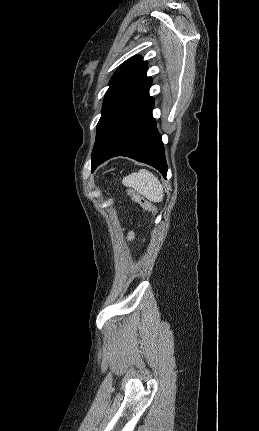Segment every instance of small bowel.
Instances as JSON below:
<instances>
[{
    "instance_id": "small-bowel-1",
    "label": "small bowel",
    "mask_w": 259,
    "mask_h": 431,
    "mask_svg": "<svg viewBox=\"0 0 259 431\" xmlns=\"http://www.w3.org/2000/svg\"><path fill=\"white\" fill-rule=\"evenodd\" d=\"M134 237L133 233H129L128 238L132 239Z\"/></svg>"
}]
</instances>
